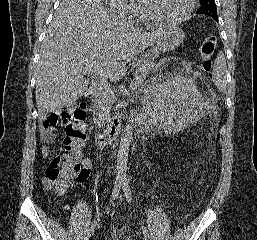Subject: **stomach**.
I'll return each instance as SVG.
<instances>
[{
	"instance_id": "stomach-1",
	"label": "stomach",
	"mask_w": 257,
	"mask_h": 240,
	"mask_svg": "<svg viewBox=\"0 0 257 240\" xmlns=\"http://www.w3.org/2000/svg\"><path fill=\"white\" fill-rule=\"evenodd\" d=\"M183 30L174 25H168L164 28L163 34L156 40L154 54L171 51L177 48L184 40Z\"/></svg>"
}]
</instances>
